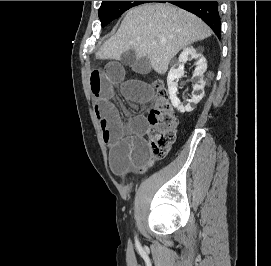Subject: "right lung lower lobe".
<instances>
[{
	"label": "right lung lower lobe",
	"instance_id": "obj_1",
	"mask_svg": "<svg viewBox=\"0 0 271 266\" xmlns=\"http://www.w3.org/2000/svg\"><path fill=\"white\" fill-rule=\"evenodd\" d=\"M169 2L200 17L220 37L221 22L218 1H150Z\"/></svg>",
	"mask_w": 271,
	"mask_h": 266
}]
</instances>
